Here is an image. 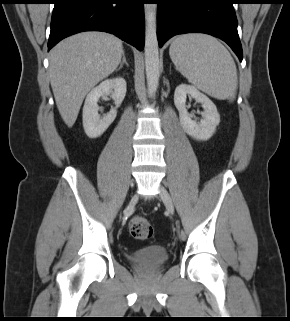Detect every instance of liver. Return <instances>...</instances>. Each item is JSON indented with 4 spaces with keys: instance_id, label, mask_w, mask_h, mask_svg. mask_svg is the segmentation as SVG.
<instances>
[{
    "instance_id": "liver-1",
    "label": "liver",
    "mask_w": 290,
    "mask_h": 321,
    "mask_svg": "<svg viewBox=\"0 0 290 321\" xmlns=\"http://www.w3.org/2000/svg\"><path fill=\"white\" fill-rule=\"evenodd\" d=\"M123 53L120 39L99 31L72 35L50 51V83L68 127L74 125L87 93L116 70Z\"/></svg>"
}]
</instances>
